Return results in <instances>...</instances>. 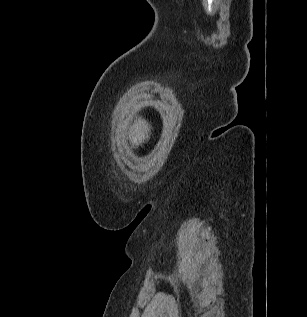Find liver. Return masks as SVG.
I'll return each mask as SVG.
<instances>
[{"label":"liver","mask_w":307,"mask_h":317,"mask_svg":"<svg viewBox=\"0 0 307 317\" xmlns=\"http://www.w3.org/2000/svg\"><path fill=\"white\" fill-rule=\"evenodd\" d=\"M151 135V125L142 118H138L130 126L128 138L133 148H137L145 141H148Z\"/></svg>","instance_id":"6515ba94"}]
</instances>
